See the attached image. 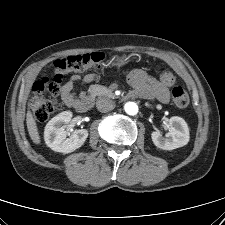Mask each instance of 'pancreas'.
I'll return each instance as SVG.
<instances>
[{"instance_id": "obj_1", "label": "pancreas", "mask_w": 225, "mask_h": 225, "mask_svg": "<svg viewBox=\"0 0 225 225\" xmlns=\"http://www.w3.org/2000/svg\"><path fill=\"white\" fill-rule=\"evenodd\" d=\"M89 93L93 96H111L112 95L111 90L102 85H92L89 88Z\"/></svg>"}]
</instances>
